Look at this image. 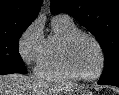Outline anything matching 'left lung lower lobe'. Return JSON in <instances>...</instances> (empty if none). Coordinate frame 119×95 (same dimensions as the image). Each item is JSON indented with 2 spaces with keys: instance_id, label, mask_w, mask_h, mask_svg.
<instances>
[{
  "instance_id": "left-lung-lower-lobe-1",
  "label": "left lung lower lobe",
  "mask_w": 119,
  "mask_h": 95,
  "mask_svg": "<svg viewBox=\"0 0 119 95\" xmlns=\"http://www.w3.org/2000/svg\"><path fill=\"white\" fill-rule=\"evenodd\" d=\"M99 84H105V83L99 82ZM110 85H111V84H110ZM114 85L117 86V87H119V83H115Z\"/></svg>"
}]
</instances>
